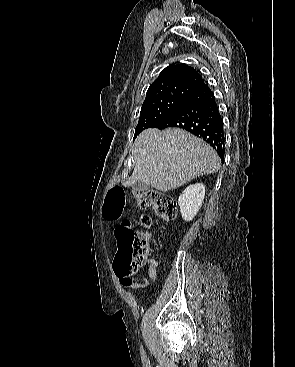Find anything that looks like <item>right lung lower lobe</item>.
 Masks as SVG:
<instances>
[{"mask_svg": "<svg viewBox=\"0 0 295 367\" xmlns=\"http://www.w3.org/2000/svg\"><path fill=\"white\" fill-rule=\"evenodd\" d=\"M158 129L179 127L203 138L224 160L225 142L223 122L214 95L205 85L196 90L169 116L160 121Z\"/></svg>", "mask_w": 295, "mask_h": 367, "instance_id": "98d812e1", "label": "right lung lower lobe"}]
</instances>
